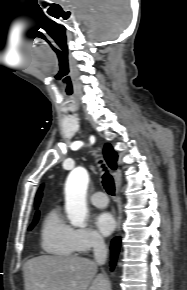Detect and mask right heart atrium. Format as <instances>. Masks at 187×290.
I'll return each instance as SVG.
<instances>
[{
	"instance_id": "d8ad5b80",
	"label": "right heart atrium",
	"mask_w": 187,
	"mask_h": 290,
	"mask_svg": "<svg viewBox=\"0 0 187 290\" xmlns=\"http://www.w3.org/2000/svg\"><path fill=\"white\" fill-rule=\"evenodd\" d=\"M73 243L78 253H88L94 248L102 247L104 241L95 231L87 228L73 229Z\"/></svg>"
}]
</instances>
